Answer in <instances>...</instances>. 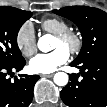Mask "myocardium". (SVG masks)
<instances>
[{"mask_svg":"<svg viewBox=\"0 0 107 107\" xmlns=\"http://www.w3.org/2000/svg\"><path fill=\"white\" fill-rule=\"evenodd\" d=\"M55 39L67 45L68 52L72 55L78 54L83 46L82 36L74 30H66L55 35Z\"/></svg>","mask_w":107,"mask_h":107,"instance_id":"myocardium-1","label":"myocardium"}]
</instances>
